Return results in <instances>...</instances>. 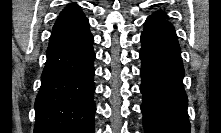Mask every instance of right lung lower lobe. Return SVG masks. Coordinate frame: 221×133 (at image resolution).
Instances as JSON below:
<instances>
[{
    "mask_svg": "<svg viewBox=\"0 0 221 133\" xmlns=\"http://www.w3.org/2000/svg\"><path fill=\"white\" fill-rule=\"evenodd\" d=\"M93 36L50 43L35 100L34 133H94Z\"/></svg>",
    "mask_w": 221,
    "mask_h": 133,
    "instance_id": "1",
    "label": "right lung lower lobe"
}]
</instances>
